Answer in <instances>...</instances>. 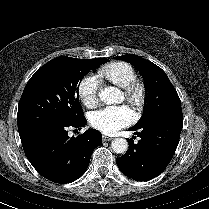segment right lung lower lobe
Instances as JSON below:
<instances>
[{
  "mask_svg": "<svg viewBox=\"0 0 209 209\" xmlns=\"http://www.w3.org/2000/svg\"><path fill=\"white\" fill-rule=\"evenodd\" d=\"M86 119L62 125H46L20 136L26 157L46 179L60 184L80 178L90 162L93 150L101 143V134L89 129L77 137L68 136V127L81 129Z\"/></svg>",
  "mask_w": 209,
  "mask_h": 209,
  "instance_id": "obj_1",
  "label": "right lung lower lobe"
}]
</instances>
